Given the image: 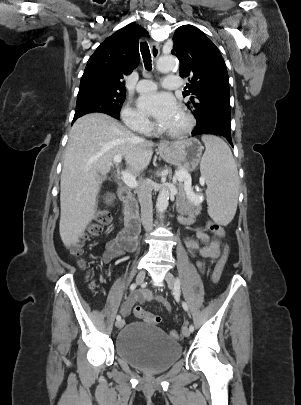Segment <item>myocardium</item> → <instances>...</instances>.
<instances>
[{
    "mask_svg": "<svg viewBox=\"0 0 301 405\" xmlns=\"http://www.w3.org/2000/svg\"><path fill=\"white\" fill-rule=\"evenodd\" d=\"M181 116L184 119L183 127L177 130H166L164 128H160L159 131L171 138H183L190 134L195 126V118L188 112H181Z\"/></svg>",
    "mask_w": 301,
    "mask_h": 405,
    "instance_id": "f54148a6",
    "label": "myocardium"
}]
</instances>
